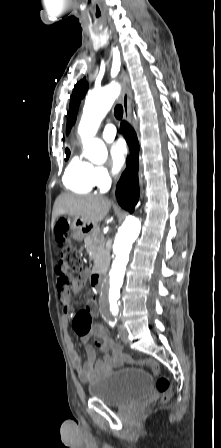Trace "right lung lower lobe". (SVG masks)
<instances>
[{
  "mask_svg": "<svg viewBox=\"0 0 221 448\" xmlns=\"http://www.w3.org/2000/svg\"><path fill=\"white\" fill-rule=\"evenodd\" d=\"M122 129L125 135V139L130 147L131 154L127 161L126 170L124 171L118 182L116 196L118 203L124 209L132 213L134 211V206L139 199V145L134 130L126 122H122Z\"/></svg>",
  "mask_w": 221,
  "mask_h": 448,
  "instance_id": "right-lung-lower-lobe-1",
  "label": "right lung lower lobe"
}]
</instances>
